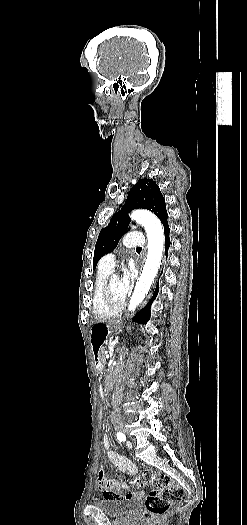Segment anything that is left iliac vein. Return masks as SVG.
Segmentation results:
<instances>
[{"label":"left iliac vein","instance_id":"1","mask_svg":"<svg viewBox=\"0 0 247 525\" xmlns=\"http://www.w3.org/2000/svg\"><path fill=\"white\" fill-rule=\"evenodd\" d=\"M126 446H127L129 449H131V448L133 447V444H132L131 441H127V442H126Z\"/></svg>","mask_w":247,"mask_h":525}]
</instances>
